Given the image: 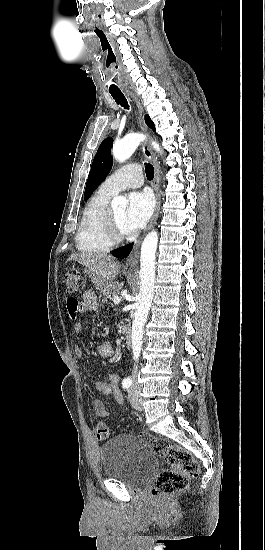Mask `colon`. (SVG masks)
Wrapping results in <instances>:
<instances>
[{
  "instance_id": "obj_1",
  "label": "colon",
  "mask_w": 265,
  "mask_h": 550,
  "mask_svg": "<svg viewBox=\"0 0 265 550\" xmlns=\"http://www.w3.org/2000/svg\"><path fill=\"white\" fill-rule=\"evenodd\" d=\"M64 284L66 292L70 295H78L85 289L84 277L74 272L65 273ZM68 306L73 310V316H75L81 311L83 304L81 301L74 299V301L68 303ZM108 436L109 428L107 424L99 422L96 426L97 439L103 441ZM139 439L170 466V468L162 470L157 475L152 487L153 497L162 498L181 490L187 486L190 479L198 476L199 465L184 448L147 432L140 433Z\"/></svg>"
}]
</instances>
